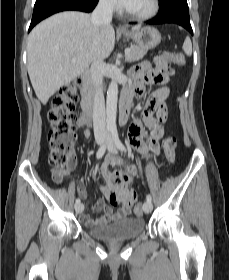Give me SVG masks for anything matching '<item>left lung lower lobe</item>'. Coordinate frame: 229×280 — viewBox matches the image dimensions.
<instances>
[{
  "instance_id": "left-lung-lower-lobe-1",
  "label": "left lung lower lobe",
  "mask_w": 229,
  "mask_h": 280,
  "mask_svg": "<svg viewBox=\"0 0 229 280\" xmlns=\"http://www.w3.org/2000/svg\"><path fill=\"white\" fill-rule=\"evenodd\" d=\"M147 24L175 23L193 34L187 0H166L162 2L159 14Z\"/></svg>"
}]
</instances>
